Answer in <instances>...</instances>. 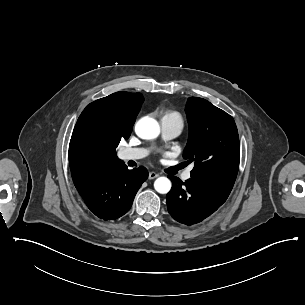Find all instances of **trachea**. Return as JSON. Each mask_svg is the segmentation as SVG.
Wrapping results in <instances>:
<instances>
[{
  "label": "trachea",
  "instance_id": "1",
  "mask_svg": "<svg viewBox=\"0 0 305 305\" xmlns=\"http://www.w3.org/2000/svg\"><path fill=\"white\" fill-rule=\"evenodd\" d=\"M182 166H174V167H170L168 169L165 170L166 173L168 174H177L179 169H182Z\"/></svg>",
  "mask_w": 305,
  "mask_h": 305
}]
</instances>
